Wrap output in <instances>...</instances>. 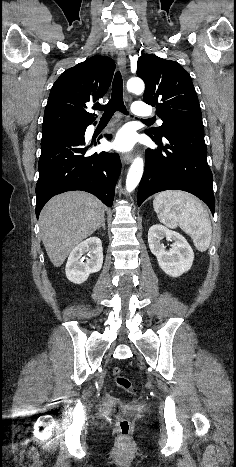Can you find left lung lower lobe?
<instances>
[{"instance_id":"0a47b994","label":"left lung lower lobe","mask_w":236,"mask_h":467,"mask_svg":"<svg viewBox=\"0 0 236 467\" xmlns=\"http://www.w3.org/2000/svg\"><path fill=\"white\" fill-rule=\"evenodd\" d=\"M164 139L152 138L159 149L146 151V165L137 204L164 190L189 192L215 211L212 173L207 163L203 127H177L164 132Z\"/></svg>"}]
</instances>
